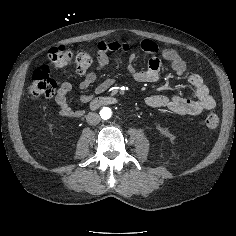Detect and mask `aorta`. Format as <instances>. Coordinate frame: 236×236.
<instances>
[{
	"mask_svg": "<svg viewBox=\"0 0 236 236\" xmlns=\"http://www.w3.org/2000/svg\"><path fill=\"white\" fill-rule=\"evenodd\" d=\"M100 116L102 119L107 120L112 116V111L109 107H104L100 110Z\"/></svg>",
	"mask_w": 236,
	"mask_h": 236,
	"instance_id": "obj_1",
	"label": "aorta"
}]
</instances>
